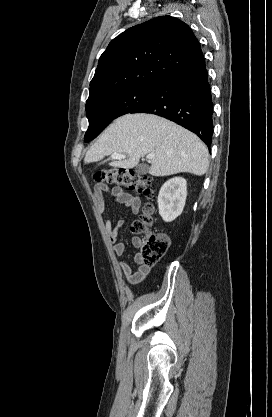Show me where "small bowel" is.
I'll use <instances>...</instances> for the list:
<instances>
[{"label": "small bowel", "instance_id": "c3829d8e", "mask_svg": "<svg viewBox=\"0 0 272 417\" xmlns=\"http://www.w3.org/2000/svg\"><path fill=\"white\" fill-rule=\"evenodd\" d=\"M105 194L111 195L116 202L124 205L125 207L131 209L134 214H137L142 206V201L140 197L134 196L131 193L124 191L120 187L110 188L105 183H97L93 189V196L96 204L97 211L102 214L105 211ZM122 220H117L115 223H112L110 219L105 221V229L109 237L110 242L112 243L113 252L122 256L126 251V246L124 243L118 241L119 231L123 226ZM141 240L138 237L132 238V244L135 247L141 246ZM134 262L137 264V267L134 268L130 263L122 261L119 263V267L123 273V276L127 283L130 285L140 284L150 272V266L144 265L141 262V254L137 253L134 257Z\"/></svg>", "mask_w": 272, "mask_h": 417}]
</instances>
